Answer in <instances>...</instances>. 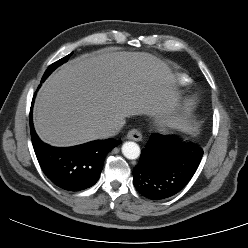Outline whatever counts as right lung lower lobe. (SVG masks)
<instances>
[{
    "instance_id": "obj_1",
    "label": "right lung lower lobe",
    "mask_w": 248,
    "mask_h": 248,
    "mask_svg": "<svg viewBox=\"0 0 248 248\" xmlns=\"http://www.w3.org/2000/svg\"><path fill=\"white\" fill-rule=\"evenodd\" d=\"M30 130L34 151L44 174L56 186L68 191H80L93 186L100 177L106 155L121 143L111 138L69 148L52 147L37 136L31 112Z\"/></svg>"
}]
</instances>
